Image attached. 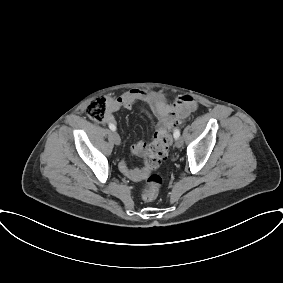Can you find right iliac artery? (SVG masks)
I'll use <instances>...</instances> for the list:
<instances>
[{"label": "right iliac artery", "mask_w": 283, "mask_h": 283, "mask_svg": "<svg viewBox=\"0 0 283 283\" xmlns=\"http://www.w3.org/2000/svg\"><path fill=\"white\" fill-rule=\"evenodd\" d=\"M109 128H110L112 131H115V130H116V127H115V125H113V124H109Z\"/></svg>", "instance_id": "82829eb1"}]
</instances>
